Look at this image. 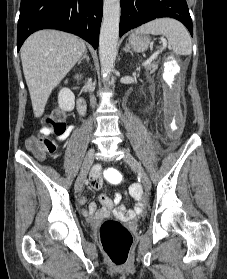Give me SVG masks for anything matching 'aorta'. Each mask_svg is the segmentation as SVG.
I'll use <instances>...</instances> for the list:
<instances>
[{
    "mask_svg": "<svg viewBox=\"0 0 227 279\" xmlns=\"http://www.w3.org/2000/svg\"><path fill=\"white\" fill-rule=\"evenodd\" d=\"M120 0H104L99 40V57L104 80H108L117 55Z\"/></svg>",
    "mask_w": 227,
    "mask_h": 279,
    "instance_id": "obj_1",
    "label": "aorta"
}]
</instances>
